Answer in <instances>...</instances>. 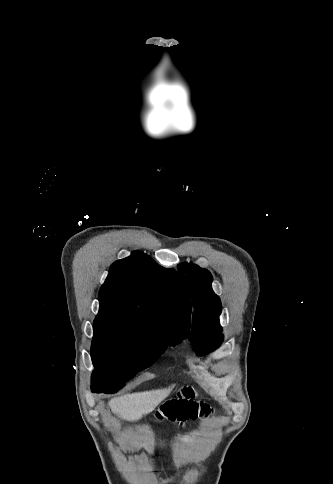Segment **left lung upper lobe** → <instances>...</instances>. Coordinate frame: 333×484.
Returning <instances> with one entry per match:
<instances>
[{
    "instance_id": "1",
    "label": "left lung upper lobe",
    "mask_w": 333,
    "mask_h": 484,
    "mask_svg": "<svg viewBox=\"0 0 333 484\" xmlns=\"http://www.w3.org/2000/svg\"><path fill=\"white\" fill-rule=\"evenodd\" d=\"M178 271L194 307L189 339L194 342L196 352L203 355L218 348L223 340L219 324L221 301L212 290L213 278L208 270L185 262L178 265Z\"/></svg>"
}]
</instances>
